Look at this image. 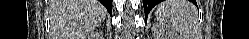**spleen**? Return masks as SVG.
I'll return each instance as SVG.
<instances>
[{"label": "spleen", "mask_w": 249, "mask_h": 39, "mask_svg": "<svg viewBox=\"0 0 249 39\" xmlns=\"http://www.w3.org/2000/svg\"><path fill=\"white\" fill-rule=\"evenodd\" d=\"M155 15L157 20L166 28L178 32L183 30L192 36L197 35L198 20L193 5L181 8L178 1L167 0L156 6Z\"/></svg>", "instance_id": "spleen-1"}]
</instances>
